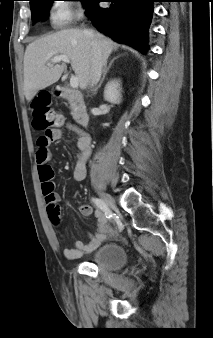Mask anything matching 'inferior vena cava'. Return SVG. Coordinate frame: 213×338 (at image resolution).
Listing matches in <instances>:
<instances>
[{
  "instance_id": "obj_1",
  "label": "inferior vena cava",
  "mask_w": 213,
  "mask_h": 338,
  "mask_svg": "<svg viewBox=\"0 0 213 338\" xmlns=\"http://www.w3.org/2000/svg\"><path fill=\"white\" fill-rule=\"evenodd\" d=\"M91 38L92 47V67L90 77V87H94L102 74L103 66L106 64L107 57L102 54L101 47L92 32L87 31Z\"/></svg>"
}]
</instances>
